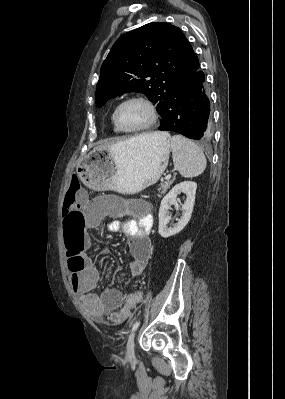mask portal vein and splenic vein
I'll return each instance as SVG.
<instances>
[{"mask_svg": "<svg viewBox=\"0 0 285 399\" xmlns=\"http://www.w3.org/2000/svg\"><path fill=\"white\" fill-rule=\"evenodd\" d=\"M171 178V174L166 175L165 179L169 180Z\"/></svg>", "mask_w": 285, "mask_h": 399, "instance_id": "portal-vein-and-splenic-vein-1", "label": "portal vein and splenic vein"}]
</instances>
